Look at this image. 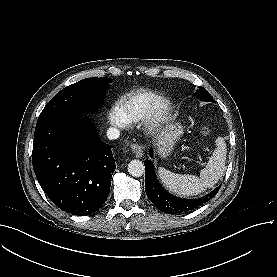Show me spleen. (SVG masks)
<instances>
[{
    "label": "spleen",
    "instance_id": "1",
    "mask_svg": "<svg viewBox=\"0 0 277 277\" xmlns=\"http://www.w3.org/2000/svg\"><path fill=\"white\" fill-rule=\"evenodd\" d=\"M226 143L224 138L216 139V148L209 158L200 177L189 174L173 173L163 167L158 169V175L164 186L171 192L180 196H192L204 192L212 187L222 177L226 163Z\"/></svg>",
    "mask_w": 277,
    "mask_h": 277
}]
</instances>
